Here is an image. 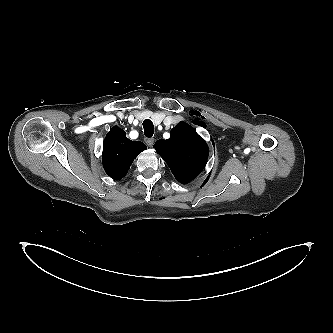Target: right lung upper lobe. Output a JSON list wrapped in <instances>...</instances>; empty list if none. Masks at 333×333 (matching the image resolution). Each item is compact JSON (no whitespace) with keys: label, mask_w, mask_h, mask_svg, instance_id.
<instances>
[{"label":"right lung upper lobe","mask_w":333,"mask_h":333,"mask_svg":"<svg viewBox=\"0 0 333 333\" xmlns=\"http://www.w3.org/2000/svg\"><path fill=\"white\" fill-rule=\"evenodd\" d=\"M147 147L140 141H131L126 133L114 126L107 133L103 143V166L106 173L115 180L122 179L138 154Z\"/></svg>","instance_id":"1"}]
</instances>
